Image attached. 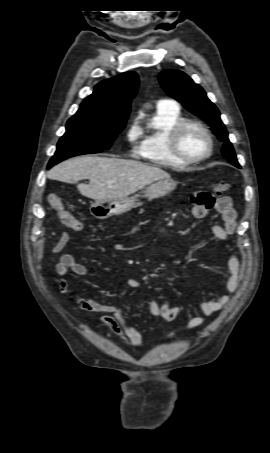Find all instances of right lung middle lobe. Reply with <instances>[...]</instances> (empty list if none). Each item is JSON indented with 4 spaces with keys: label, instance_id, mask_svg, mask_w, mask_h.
<instances>
[{
    "label": "right lung middle lobe",
    "instance_id": "obj_1",
    "mask_svg": "<svg viewBox=\"0 0 270 453\" xmlns=\"http://www.w3.org/2000/svg\"><path fill=\"white\" fill-rule=\"evenodd\" d=\"M124 127L125 123H114L95 117L70 118L48 169L69 157L99 153L108 149Z\"/></svg>",
    "mask_w": 270,
    "mask_h": 453
}]
</instances>
